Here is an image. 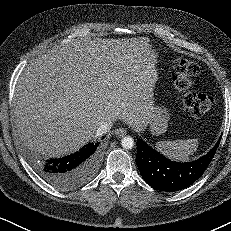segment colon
<instances>
[{"label": "colon", "instance_id": "obj_1", "mask_svg": "<svg viewBox=\"0 0 231 231\" xmlns=\"http://www.w3.org/2000/svg\"><path fill=\"white\" fill-rule=\"evenodd\" d=\"M198 72V62L189 58H178L172 69L173 83L181 94L182 107L184 111L194 116H201L208 112L216 101L212 94L190 91Z\"/></svg>", "mask_w": 231, "mask_h": 231}]
</instances>
